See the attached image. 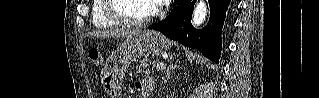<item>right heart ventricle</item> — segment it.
<instances>
[{
	"instance_id": "e07e8e85",
	"label": "right heart ventricle",
	"mask_w": 319,
	"mask_h": 98,
	"mask_svg": "<svg viewBox=\"0 0 319 98\" xmlns=\"http://www.w3.org/2000/svg\"><path fill=\"white\" fill-rule=\"evenodd\" d=\"M105 0H94L91 5L92 24L97 29L110 28L116 25L105 13Z\"/></svg>"
}]
</instances>
